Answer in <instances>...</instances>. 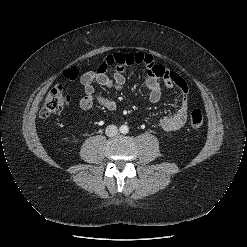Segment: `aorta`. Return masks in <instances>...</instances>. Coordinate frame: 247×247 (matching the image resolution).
I'll return each mask as SVG.
<instances>
[{
  "mask_svg": "<svg viewBox=\"0 0 247 247\" xmlns=\"http://www.w3.org/2000/svg\"><path fill=\"white\" fill-rule=\"evenodd\" d=\"M119 130H120V132H121L122 134H127L128 131H129V128H128L127 125H121L120 128H119Z\"/></svg>",
  "mask_w": 247,
  "mask_h": 247,
  "instance_id": "1",
  "label": "aorta"
}]
</instances>
